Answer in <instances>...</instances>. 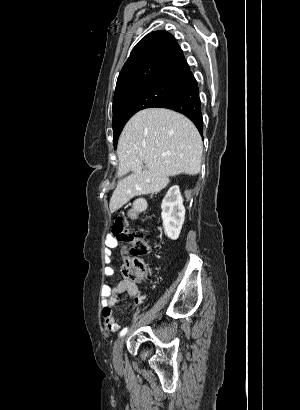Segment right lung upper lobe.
<instances>
[{
	"label": "right lung upper lobe",
	"mask_w": 300,
	"mask_h": 410,
	"mask_svg": "<svg viewBox=\"0 0 300 410\" xmlns=\"http://www.w3.org/2000/svg\"><path fill=\"white\" fill-rule=\"evenodd\" d=\"M193 78L175 38L164 30L146 35L132 50L116 84L114 98L123 90L159 82H185Z\"/></svg>",
	"instance_id": "1"
}]
</instances>
